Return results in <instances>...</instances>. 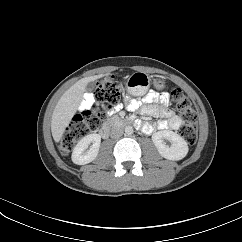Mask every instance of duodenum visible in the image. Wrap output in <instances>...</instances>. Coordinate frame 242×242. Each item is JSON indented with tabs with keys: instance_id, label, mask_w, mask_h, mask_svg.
I'll list each match as a JSON object with an SVG mask.
<instances>
[{
	"instance_id": "410a0bca",
	"label": "duodenum",
	"mask_w": 242,
	"mask_h": 242,
	"mask_svg": "<svg viewBox=\"0 0 242 242\" xmlns=\"http://www.w3.org/2000/svg\"><path fill=\"white\" fill-rule=\"evenodd\" d=\"M133 125H134V122L132 120L113 119L109 124H106L102 128L100 134L103 138H106L109 136L111 127H113V126H133Z\"/></svg>"
}]
</instances>
